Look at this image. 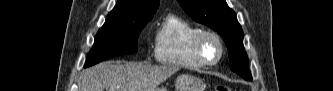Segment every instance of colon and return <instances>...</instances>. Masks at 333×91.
<instances>
[{"mask_svg":"<svg viewBox=\"0 0 333 91\" xmlns=\"http://www.w3.org/2000/svg\"><path fill=\"white\" fill-rule=\"evenodd\" d=\"M215 90L216 91H230V89L226 85H223V84H218L215 87Z\"/></svg>","mask_w":333,"mask_h":91,"instance_id":"colon-1","label":"colon"}]
</instances>
